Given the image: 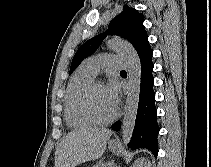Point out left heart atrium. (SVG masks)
I'll return each instance as SVG.
<instances>
[{
	"label": "left heart atrium",
	"instance_id": "39dd6f15",
	"mask_svg": "<svg viewBox=\"0 0 211 167\" xmlns=\"http://www.w3.org/2000/svg\"><path fill=\"white\" fill-rule=\"evenodd\" d=\"M105 94L113 107L116 111L118 104H119V87L115 81H110L105 87Z\"/></svg>",
	"mask_w": 211,
	"mask_h": 167
}]
</instances>
